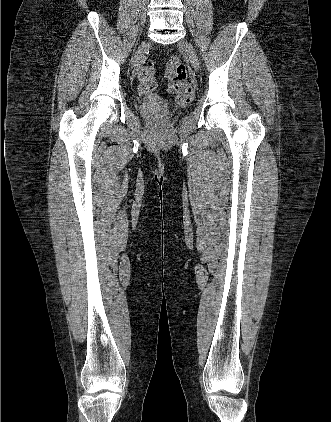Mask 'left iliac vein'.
<instances>
[{
    "mask_svg": "<svg viewBox=\"0 0 331 422\" xmlns=\"http://www.w3.org/2000/svg\"><path fill=\"white\" fill-rule=\"evenodd\" d=\"M179 47L185 52L186 56L190 59L191 64L195 71L199 70V59L197 54L192 46L188 41H181L179 43Z\"/></svg>",
    "mask_w": 331,
    "mask_h": 422,
    "instance_id": "obj_1",
    "label": "left iliac vein"
}]
</instances>
